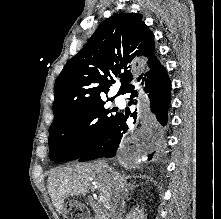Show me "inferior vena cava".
Returning a JSON list of instances; mask_svg holds the SVG:
<instances>
[{
	"label": "inferior vena cava",
	"instance_id": "1",
	"mask_svg": "<svg viewBox=\"0 0 221 219\" xmlns=\"http://www.w3.org/2000/svg\"><path fill=\"white\" fill-rule=\"evenodd\" d=\"M101 165L103 168H108V165L104 160L101 161ZM125 198L126 194L118 196L114 208L111 211V219H122V213L124 212Z\"/></svg>",
	"mask_w": 221,
	"mask_h": 219
}]
</instances>
